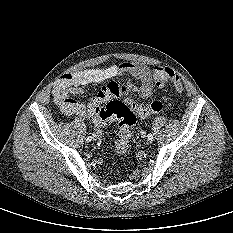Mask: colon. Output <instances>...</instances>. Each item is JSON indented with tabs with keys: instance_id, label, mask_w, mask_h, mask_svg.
<instances>
[{
	"instance_id": "1",
	"label": "colon",
	"mask_w": 233,
	"mask_h": 233,
	"mask_svg": "<svg viewBox=\"0 0 233 233\" xmlns=\"http://www.w3.org/2000/svg\"><path fill=\"white\" fill-rule=\"evenodd\" d=\"M154 82L158 87H165L172 83L177 92L183 91V85L179 76L170 68L157 66L153 71ZM163 108L162 100H153L147 104L138 103L131 97H126L125 102L112 99L105 107L93 105L90 109L91 119L95 122H106L110 119H118L120 123L119 138L115 142L114 151L118 156L128 152L132 137L133 126L137 117L146 118Z\"/></svg>"
}]
</instances>
